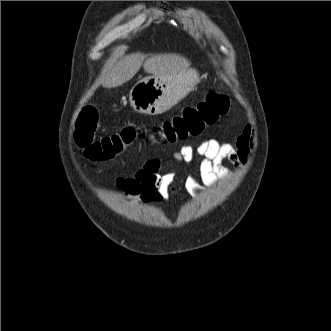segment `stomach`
I'll return each mask as SVG.
<instances>
[{"mask_svg":"<svg viewBox=\"0 0 331 331\" xmlns=\"http://www.w3.org/2000/svg\"><path fill=\"white\" fill-rule=\"evenodd\" d=\"M197 79L194 69H187L170 78L155 75L145 77L131 88L130 105L141 114L164 113L192 90Z\"/></svg>","mask_w":331,"mask_h":331,"instance_id":"obj_1","label":"stomach"}]
</instances>
